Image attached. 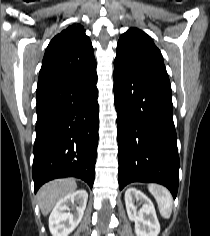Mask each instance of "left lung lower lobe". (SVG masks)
Listing matches in <instances>:
<instances>
[{"label": "left lung lower lobe", "mask_w": 210, "mask_h": 236, "mask_svg": "<svg viewBox=\"0 0 210 236\" xmlns=\"http://www.w3.org/2000/svg\"><path fill=\"white\" fill-rule=\"evenodd\" d=\"M120 190L128 183L156 182L175 198L179 156L169 79L114 67Z\"/></svg>", "instance_id": "0a47b994"}]
</instances>
